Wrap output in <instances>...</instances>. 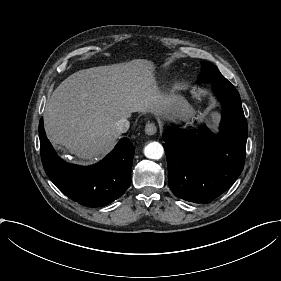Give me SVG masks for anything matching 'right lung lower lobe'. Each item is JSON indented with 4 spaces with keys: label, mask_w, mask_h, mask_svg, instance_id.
I'll list each match as a JSON object with an SVG mask.
<instances>
[{
    "label": "right lung lower lobe",
    "mask_w": 281,
    "mask_h": 281,
    "mask_svg": "<svg viewBox=\"0 0 281 281\" xmlns=\"http://www.w3.org/2000/svg\"><path fill=\"white\" fill-rule=\"evenodd\" d=\"M40 153L44 170L58 189L88 207L106 206L118 199L131 180L135 148L122 138L99 163L83 167L64 163L46 137L43 118L39 123Z\"/></svg>",
    "instance_id": "1"
}]
</instances>
